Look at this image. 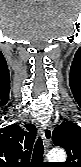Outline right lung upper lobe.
Instances as JSON below:
<instances>
[{
  "instance_id": "obj_1",
  "label": "right lung upper lobe",
  "mask_w": 81,
  "mask_h": 167,
  "mask_svg": "<svg viewBox=\"0 0 81 167\" xmlns=\"http://www.w3.org/2000/svg\"><path fill=\"white\" fill-rule=\"evenodd\" d=\"M36 127L16 124L0 129V167H31L30 155Z\"/></svg>"
}]
</instances>
